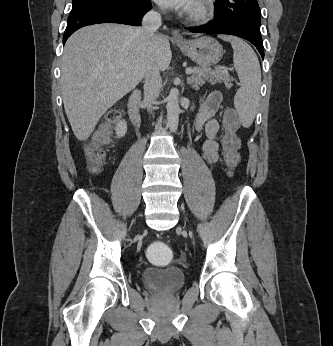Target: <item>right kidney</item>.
Here are the masks:
<instances>
[{"label":"right kidney","instance_id":"obj_1","mask_svg":"<svg viewBox=\"0 0 333 346\" xmlns=\"http://www.w3.org/2000/svg\"><path fill=\"white\" fill-rule=\"evenodd\" d=\"M115 132L117 137H123L127 132V123L124 120L119 121L116 125Z\"/></svg>","mask_w":333,"mask_h":346}]
</instances>
